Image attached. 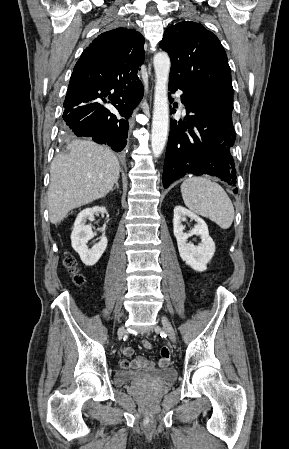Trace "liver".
I'll return each mask as SVG.
<instances>
[{
  "instance_id": "obj_1",
  "label": "liver",
  "mask_w": 289,
  "mask_h": 449,
  "mask_svg": "<svg viewBox=\"0 0 289 449\" xmlns=\"http://www.w3.org/2000/svg\"><path fill=\"white\" fill-rule=\"evenodd\" d=\"M67 153L56 155L50 168L49 219L60 223L67 214L109 193L119 178L120 165L107 147L73 140Z\"/></svg>"
}]
</instances>
